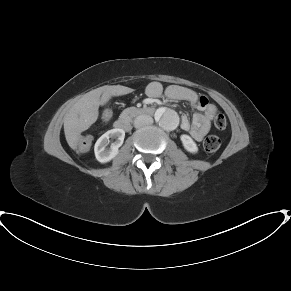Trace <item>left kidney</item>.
I'll return each instance as SVG.
<instances>
[{
	"instance_id": "obj_1",
	"label": "left kidney",
	"mask_w": 291,
	"mask_h": 291,
	"mask_svg": "<svg viewBox=\"0 0 291 291\" xmlns=\"http://www.w3.org/2000/svg\"><path fill=\"white\" fill-rule=\"evenodd\" d=\"M180 139L182 141V144L184 146V148L190 152V153H197L198 151V147L196 145V143L193 141V139L186 134H183L180 136Z\"/></svg>"
}]
</instances>
